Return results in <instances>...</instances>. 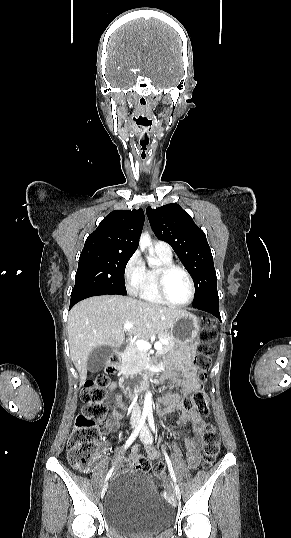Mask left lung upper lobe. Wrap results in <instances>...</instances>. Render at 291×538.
Here are the masks:
<instances>
[{
    "label": "left lung upper lobe",
    "mask_w": 291,
    "mask_h": 538,
    "mask_svg": "<svg viewBox=\"0 0 291 538\" xmlns=\"http://www.w3.org/2000/svg\"><path fill=\"white\" fill-rule=\"evenodd\" d=\"M146 213L159 240L169 243L195 285L193 303L217 296V277L213 257L205 233L178 204L170 203Z\"/></svg>",
    "instance_id": "left-lung-upper-lobe-1"
}]
</instances>
